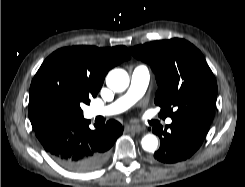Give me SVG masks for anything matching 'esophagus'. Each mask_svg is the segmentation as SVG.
<instances>
[{"label":"esophagus","instance_id":"obj_1","mask_svg":"<svg viewBox=\"0 0 245 187\" xmlns=\"http://www.w3.org/2000/svg\"><path fill=\"white\" fill-rule=\"evenodd\" d=\"M125 130L128 132L138 133V132H141L143 128H141L140 126H136V125H126Z\"/></svg>","mask_w":245,"mask_h":187}]
</instances>
